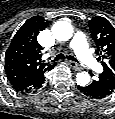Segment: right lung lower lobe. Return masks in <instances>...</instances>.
<instances>
[{
	"mask_svg": "<svg viewBox=\"0 0 115 119\" xmlns=\"http://www.w3.org/2000/svg\"><path fill=\"white\" fill-rule=\"evenodd\" d=\"M53 68V67H52ZM52 68L48 69L51 70ZM46 71L38 73L37 75L33 76L30 79H27L23 82H20L18 84L12 85V87L23 94L28 93H35L38 89H40L45 81V74Z\"/></svg>",
	"mask_w": 115,
	"mask_h": 119,
	"instance_id": "right-lung-lower-lobe-1",
	"label": "right lung lower lobe"
}]
</instances>
